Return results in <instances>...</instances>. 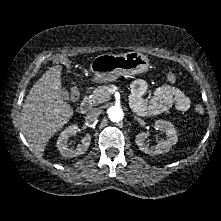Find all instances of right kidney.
Masks as SVG:
<instances>
[{
	"label": "right kidney",
	"instance_id": "ca27d5eb",
	"mask_svg": "<svg viewBox=\"0 0 221 221\" xmlns=\"http://www.w3.org/2000/svg\"><path fill=\"white\" fill-rule=\"evenodd\" d=\"M78 132V126L77 125H71L68 128H66L62 133L60 134L58 140H57V148L59 149L60 153L65 157H76L79 155L84 154L91 142V136L87 134L82 139V144L77 146V148H68V139L75 135Z\"/></svg>",
	"mask_w": 221,
	"mask_h": 221
}]
</instances>
